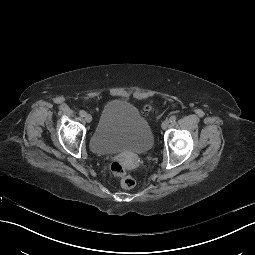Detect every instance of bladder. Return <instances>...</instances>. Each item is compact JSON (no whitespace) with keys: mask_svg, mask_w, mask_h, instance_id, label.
Segmentation results:
<instances>
[{"mask_svg":"<svg viewBox=\"0 0 255 255\" xmlns=\"http://www.w3.org/2000/svg\"><path fill=\"white\" fill-rule=\"evenodd\" d=\"M153 146L150 125L135 106L115 99L109 102L91 138V148L99 153H146Z\"/></svg>","mask_w":255,"mask_h":255,"instance_id":"obj_1","label":"bladder"}]
</instances>
